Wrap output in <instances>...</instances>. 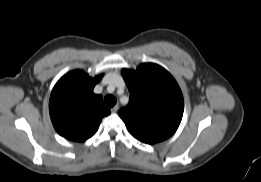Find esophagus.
<instances>
[{
  "instance_id": "obj_1",
  "label": "esophagus",
  "mask_w": 261,
  "mask_h": 182,
  "mask_svg": "<svg viewBox=\"0 0 261 182\" xmlns=\"http://www.w3.org/2000/svg\"><path fill=\"white\" fill-rule=\"evenodd\" d=\"M118 108H119V106H118V105H115V106L111 109L112 113H116V112L118 111Z\"/></svg>"
}]
</instances>
